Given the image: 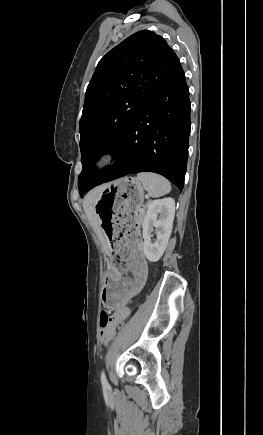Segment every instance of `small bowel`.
<instances>
[{"label":"small bowel","mask_w":263,"mask_h":435,"mask_svg":"<svg viewBox=\"0 0 263 435\" xmlns=\"http://www.w3.org/2000/svg\"><path fill=\"white\" fill-rule=\"evenodd\" d=\"M141 260H143L142 257ZM129 314L130 310L127 305H121L120 310H114L113 321H106L104 328L110 330V333H115L116 323L125 321Z\"/></svg>","instance_id":"1"}]
</instances>
